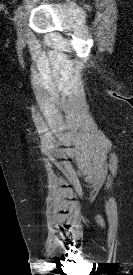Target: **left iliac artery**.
I'll return each mask as SVG.
<instances>
[{"label":"left iliac artery","instance_id":"obj_1","mask_svg":"<svg viewBox=\"0 0 133 275\" xmlns=\"http://www.w3.org/2000/svg\"><path fill=\"white\" fill-rule=\"evenodd\" d=\"M22 9H23V7L21 5H19L17 7V9L15 10V15H14L15 20L22 14Z\"/></svg>","mask_w":133,"mask_h":275}]
</instances>
